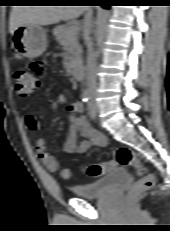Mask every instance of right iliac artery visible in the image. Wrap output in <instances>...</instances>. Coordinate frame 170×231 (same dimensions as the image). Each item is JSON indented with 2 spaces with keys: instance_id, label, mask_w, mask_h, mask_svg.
<instances>
[{
  "instance_id": "82829eb1",
  "label": "right iliac artery",
  "mask_w": 170,
  "mask_h": 231,
  "mask_svg": "<svg viewBox=\"0 0 170 231\" xmlns=\"http://www.w3.org/2000/svg\"><path fill=\"white\" fill-rule=\"evenodd\" d=\"M89 98H90L89 92L87 90H85L81 95V100L84 103H86V102H88Z\"/></svg>"
}]
</instances>
